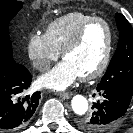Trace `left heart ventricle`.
Segmentation results:
<instances>
[{
  "mask_svg": "<svg viewBox=\"0 0 133 133\" xmlns=\"http://www.w3.org/2000/svg\"><path fill=\"white\" fill-rule=\"evenodd\" d=\"M107 46V29L102 23L88 27L79 45L66 56L79 76L94 71L101 63Z\"/></svg>",
  "mask_w": 133,
  "mask_h": 133,
  "instance_id": "1",
  "label": "left heart ventricle"
}]
</instances>
